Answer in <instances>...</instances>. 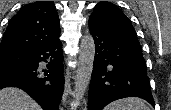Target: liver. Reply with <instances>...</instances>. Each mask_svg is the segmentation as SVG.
<instances>
[{"label":"liver","instance_id":"liver-1","mask_svg":"<svg viewBox=\"0 0 171 110\" xmlns=\"http://www.w3.org/2000/svg\"><path fill=\"white\" fill-rule=\"evenodd\" d=\"M0 110H41L40 106L18 88L0 90Z\"/></svg>","mask_w":171,"mask_h":110}]
</instances>
